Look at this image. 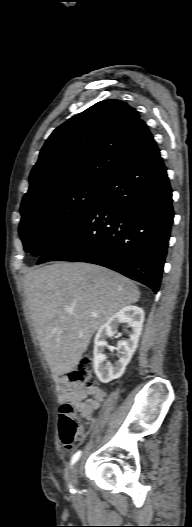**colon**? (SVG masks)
<instances>
[{"mask_svg": "<svg viewBox=\"0 0 192 527\" xmlns=\"http://www.w3.org/2000/svg\"><path fill=\"white\" fill-rule=\"evenodd\" d=\"M69 379L84 388L94 387L95 380L91 358H82L78 366L69 374ZM59 435L66 448H72L86 435V427L80 422L74 405L68 401H65L59 410Z\"/></svg>", "mask_w": 192, "mask_h": 527, "instance_id": "5ec220e1", "label": "colon"}]
</instances>
